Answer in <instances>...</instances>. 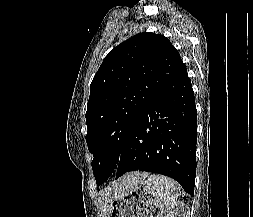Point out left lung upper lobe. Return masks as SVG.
<instances>
[{"label": "left lung upper lobe", "mask_w": 253, "mask_h": 217, "mask_svg": "<svg viewBox=\"0 0 253 217\" xmlns=\"http://www.w3.org/2000/svg\"><path fill=\"white\" fill-rule=\"evenodd\" d=\"M185 64L162 35L139 33L112 49L90 85L86 141L101 185L113 173L130 130Z\"/></svg>", "instance_id": "1"}]
</instances>
